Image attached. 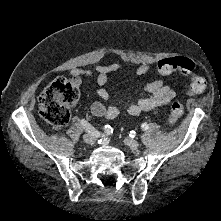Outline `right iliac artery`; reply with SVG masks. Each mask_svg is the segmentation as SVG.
Returning a JSON list of instances; mask_svg holds the SVG:
<instances>
[{
	"mask_svg": "<svg viewBox=\"0 0 221 221\" xmlns=\"http://www.w3.org/2000/svg\"><path fill=\"white\" fill-rule=\"evenodd\" d=\"M81 124L86 132L93 134L96 137L104 138L111 134L114 129L113 125L106 124L102 127L101 131L95 130L86 120L82 119Z\"/></svg>",
	"mask_w": 221,
	"mask_h": 221,
	"instance_id": "right-iliac-artery-1",
	"label": "right iliac artery"
}]
</instances>
